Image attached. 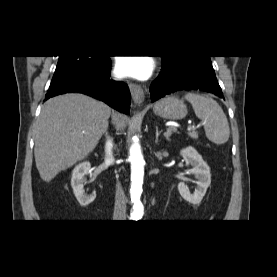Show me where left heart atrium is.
Returning a JSON list of instances; mask_svg holds the SVG:
<instances>
[{
	"instance_id": "1",
	"label": "left heart atrium",
	"mask_w": 277,
	"mask_h": 277,
	"mask_svg": "<svg viewBox=\"0 0 277 277\" xmlns=\"http://www.w3.org/2000/svg\"><path fill=\"white\" fill-rule=\"evenodd\" d=\"M116 69L122 76L145 79L151 74L153 63L147 57H124L116 62Z\"/></svg>"
}]
</instances>
